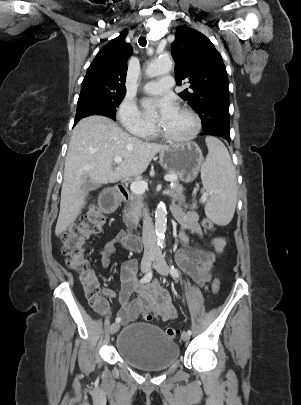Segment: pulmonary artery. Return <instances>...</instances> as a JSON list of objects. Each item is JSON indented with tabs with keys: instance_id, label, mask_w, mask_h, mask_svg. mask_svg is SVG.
Wrapping results in <instances>:
<instances>
[{
	"instance_id": "pulmonary-artery-1",
	"label": "pulmonary artery",
	"mask_w": 301,
	"mask_h": 405,
	"mask_svg": "<svg viewBox=\"0 0 301 405\" xmlns=\"http://www.w3.org/2000/svg\"><path fill=\"white\" fill-rule=\"evenodd\" d=\"M174 85V78L172 76H163L158 80L149 81L144 84L143 89L149 94H161Z\"/></svg>"
}]
</instances>
